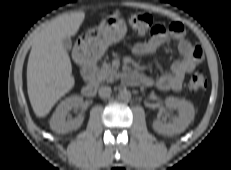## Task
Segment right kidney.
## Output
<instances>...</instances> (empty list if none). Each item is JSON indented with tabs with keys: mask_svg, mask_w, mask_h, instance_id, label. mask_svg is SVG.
I'll return each instance as SVG.
<instances>
[{
	"mask_svg": "<svg viewBox=\"0 0 231 170\" xmlns=\"http://www.w3.org/2000/svg\"><path fill=\"white\" fill-rule=\"evenodd\" d=\"M82 105V97L72 96L66 98L58 105L56 111L52 115L50 120V128L57 133H68L72 130L78 129L83 122V116L78 115L73 120H66V117L71 109L81 108Z\"/></svg>",
	"mask_w": 231,
	"mask_h": 170,
	"instance_id": "ca27d5eb",
	"label": "right kidney"
}]
</instances>
